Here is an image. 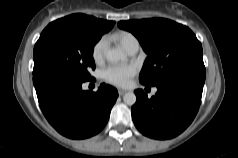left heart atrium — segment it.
<instances>
[{
  "label": "left heart atrium",
  "mask_w": 238,
  "mask_h": 158,
  "mask_svg": "<svg viewBox=\"0 0 238 158\" xmlns=\"http://www.w3.org/2000/svg\"><path fill=\"white\" fill-rule=\"evenodd\" d=\"M136 73L137 68L133 64H112L103 71V77L113 85L124 87Z\"/></svg>",
  "instance_id": "obj_1"
}]
</instances>
